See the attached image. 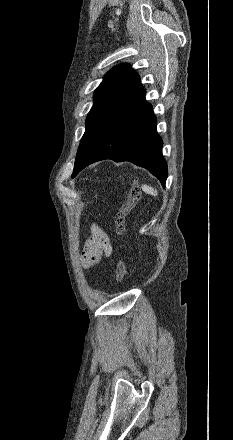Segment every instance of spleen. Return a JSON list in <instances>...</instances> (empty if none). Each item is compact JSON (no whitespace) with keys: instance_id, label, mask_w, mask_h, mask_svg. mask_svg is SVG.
Here are the masks:
<instances>
[{"instance_id":"3e777b00","label":"spleen","mask_w":233,"mask_h":440,"mask_svg":"<svg viewBox=\"0 0 233 440\" xmlns=\"http://www.w3.org/2000/svg\"><path fill=\"white\" fill-rule=\"evenodd\" d=\"M141 188H142V190H143L146 194H149V195H152V196H157V195H158L157 190L154 189L153 187L149 186V185H145V184H144V185L141 186Z\"/></svg>"}]
</instances>
